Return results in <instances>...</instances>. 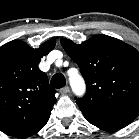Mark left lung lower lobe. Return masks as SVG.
<instances>
[{
	"label": "left lung lower lobe",
	"mask_w": 139,
	"mask_h": 139,
	"mask_svg": "<svg viewBox=\"0 0 139 139\" xmlns=\"http://www.w3.org/2000/svg\"><path fill=\"white\" fill-rule=\"evenodd\" d=\"M80 110L91 124L107 131L119 130L139 115V108L137 107L118 111H96L87 108H80Z\"/></svg>",
	"instance_id": "left-lung-lower-lobe-1"
}]
</instances>
